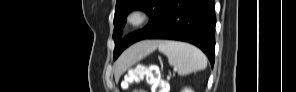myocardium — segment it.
Wrapping results in <instances>:
<instances>
[{
	"label": "myocardium",
	"mask_w": 296,
	"mask_h": 92,
	"mask_svg": "<svg viewBox=\"0 0 296 92\" xmlns=\"http://www.w3.org/2000/svg\"><path fill=\"white\" fill-rule=\"evenodd\" d=\"M148 19V14L143 9H135L131 11L127 18L126 22L130 27H140L143 25Z\"/></svg>",
	"instance_id": "1"
}]
</instances>
